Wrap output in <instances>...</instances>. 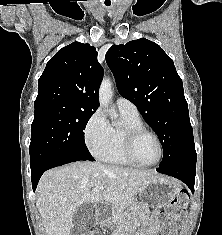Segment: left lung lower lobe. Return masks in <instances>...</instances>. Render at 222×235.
<instances>
[{
  "label": "left lung lower lobe",
  "mask_w": 222,
  "mask_h": 235,
  "mask_svg": "<svg viewBox=\"0 0 222 235\" xmlns=\"http://www.w3.org/2000/svg\"><path fill=\"white\" fill-rule=\"evenodd\" d=\"M156 171L183 181L194 193L196 161H180L166 166H159Z\"/></svg>",
  "instance_id": "left-lung-lower-lobe-1"
}]
</instances>
